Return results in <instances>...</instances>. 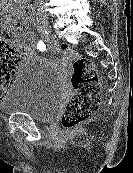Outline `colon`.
<instances>
[{
  "label": "colon",
  "mask_w": 133,
  "mask_h": 173,
  "mask_svg": "<svg viewBox=\"0 0 133 173\" xmlns=\"http://www.w3.org/2000/svg\"><path fill=\"white\" fill-rule=\"evenodd\" d=\"M28 30L26 23L16 21L10 13L0 20V98L4 97L21 61V53L12 41L24 36ZM59 48L73 58L70 75L73 94L61 116L62 126L71 129L96 112L100 103L101 85L91 60L80 56L66 45Z\"/></svg>",
  "instance_id": "colon-1"
}]
</instances>
